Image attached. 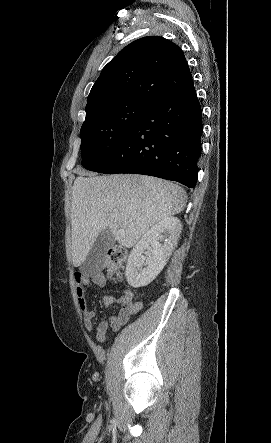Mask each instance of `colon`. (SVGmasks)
Segmentation results:
<instances>
[{"instance_id":"1","label":"colon","mask_w":271,"mask_h":443,"mask_svg":"<svg viewBox=\"0 0 271 443\" xmlns=\"http://www.w3.org/2000/svg\"><path fill=\"white\" fill-rule=\"evenodd\" d=\"M126 259V251L121 247L110 248L105 256V269L110 275L120 272Z\"/></svg>"}]
</instances>
